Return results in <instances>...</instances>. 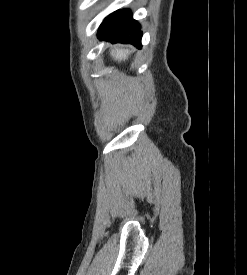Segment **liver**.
I'll list each match as a JSON object with an SVG mask.
<instances>
[{"mask_svg": "<svg viewBox=\"0 0 247 275\" xmlns=\"http://www.w3.org/2000/svg\"><path fill=\"white\" fill-rule=\"evenodd\" d=\"M110 54L114 60L120 62V61H125L128 58L130 54V50L127 48L125 49V48L114 47L111 50Z\"/></svg>", "mask_w": 247, "mask_h": 275, "instance_id": "6515ba94", "label": "liver"}]
</instances>
